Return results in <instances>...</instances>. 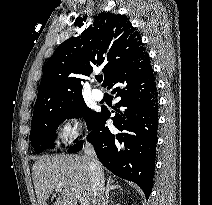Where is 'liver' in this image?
Here are the masks:
<instances>
[{
  "label": "liver",
  "mask_w": 212,
  "mask_h": 205,
  "mask_svg": "<svg viewBox=\"0 0 212 205\" xmlns=\"http://www.w3.org/2000/svg\"><path fill=\"white\" fill-rule=\"evenodd\" d=\"M33 183L38 205H48L53 191L58 192L53 205H77L71 188L95 205L90 169L85 156H43L33 165ZM62 184L59 190L56 187Z\"/></svg>",
  "instance_id": "1"
}]
</instances>
